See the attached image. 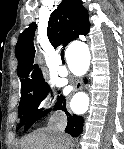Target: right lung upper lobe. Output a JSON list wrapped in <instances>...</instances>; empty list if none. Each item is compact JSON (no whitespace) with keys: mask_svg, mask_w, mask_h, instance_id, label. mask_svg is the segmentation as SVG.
<instances>
[{"mask_svg":"<svg viewBox=\"0 0 124 149\" xmlns=\"http://www.w3.org/2000/svg\"><path fill=\"white\" fill-rule=\"evenodd\" d=\"M36 24L30 26L19 35L16 44V57L19 65L17 74L20 77L21 87H34L45 83L38 65H33L35 48L33 38ZM90 29L87 11L80 0H62V3L51 13L47 36L54 48L77 39L79 35H87Z\"/></svg>","mask_w":124,"mask_h":149,"instance_id":"obj_1","label":"right lung upper lobe"}]
</instances>
